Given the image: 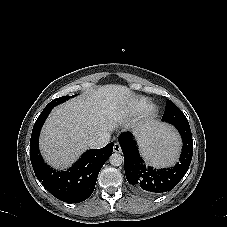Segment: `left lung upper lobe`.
<instances>
[{
	"label": "left lung upper lobe",
	"instance_id": "1",
	"mask_svg": "<svg viewBox=\"0 0 227 227\" xmlns=\"http://www.w3.org/2000/svg\"><path fill=\"white\" fill-rule=\"evenodd\" d=\"M168 103H173V102H172L171 100H168V101H167V104H168ZM167 104H166V105H167Z\"/></svg>",
	"mask_w": 227,
	"mask_h": 227
}]
</instances>
